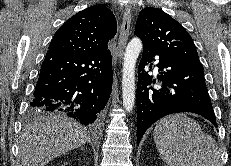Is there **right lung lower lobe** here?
Instances as JSON below:
<instances>
[{"label":"right lung lower lobe","instance_id":"1","mask_svg":"<svg viewBox=\"0 0 231 166\" xmlns=\"http://www.w3.org/2000/svg\"><path fill=\"white\" fill-rule=\"evenodd\" d=\"M112 58L107 49L94 54L47 51L31 110L62 111L82 125L96 127L112 89Z\"/></svg>","mask_w":231,"mask_h":166}]
</instances>
